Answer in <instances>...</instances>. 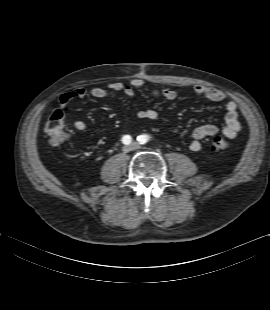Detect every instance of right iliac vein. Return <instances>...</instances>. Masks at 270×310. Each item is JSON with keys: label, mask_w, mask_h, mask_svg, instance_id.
Masks as SVG:
<instances>
[{"label": "right iliac vein", "mask_w": 270, "mask_h": 310, "mask_svg": "<svg viewBox=\"0 0 270 310\" xmlns=\"http://www.w3.org/2000/svg\"><path fill=\"white\" fill-rule=\"evenodd\" d=\"M132 150V147L130 146V145H127V146H124L123 147V152L124 153H127V152H129V151H131Z\"/></svg>", "instance_id": "right-iliac-vein-1"}]
</instances>
